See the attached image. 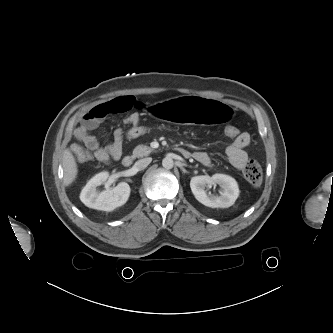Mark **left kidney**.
Instances as JSON below:
<instances>
[{
  "label": "left kidney",
  "instance_id": "obj_1",
  "mask_svg": "<svg viewBox=\"0 0 333 333\" xmlns=\"http://www.w3.org/2000/svg\"><path fill=\"white\" fill-rule=\"evenodd\" d=\"M216 184L221 187L220 195H208L205 191L206 187ZM190 187L195 198L203 205L211 208H228L235 203L239 196L236 180L225 174L192 177Z\"/></svg>",
  "mask_w": 333,
  "mask_h": 333
}]
</instances>
